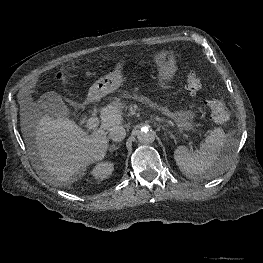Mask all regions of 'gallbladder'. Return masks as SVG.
Returning a JSON list of instances; mask_svg holds the SVG:
<instances>
[{
    "instance_id": "gallbladder-1",
    "label": "gallbladder",
    "mask_w": 263,
    "mask_h": 263,
    "mask_svg": "<svg viewBox=\"0 0 263 263\" xmlns=\"http://www.w3.org/2000/svg\"><path fill=\"white\" fill-rule=\"evenodd\" d=\"M38 106L40 111L53 118H66L68 115V108L62 97L55 92H47L43 94Z\"/></svg>"
}]
</instances>
